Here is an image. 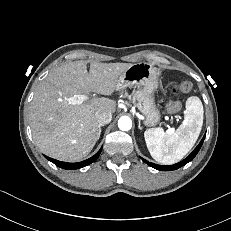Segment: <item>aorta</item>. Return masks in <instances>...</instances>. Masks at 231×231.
I'll return each mask as SVG.
<instances>
[{"label": "aorta", "instance_id": "1", "mask_svg": "<svg viewBox=\"0 0 231 231\" xmlns=\"http://www.w3.org/2000/svg\"><path fill=\"white\" fill-rule=\"evenodd\" d=\"M118 127L122 131H128L132 127V121L129 117L123 116L118 120Z\"/></svg>", "mask_w": 231, "mask_h": 231}]
</instances>
